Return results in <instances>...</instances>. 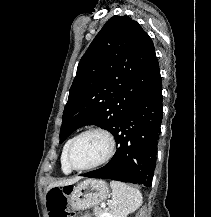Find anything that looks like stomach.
I'll return each instance as SVG.
<instances>
[{"label":"stomach","mask_w":211,"mask_h":217,"mask_svg":"<svg viewBox=\"0 0 211 217\" xmlns=\"http://www.w3.org/2000/svg\"><path fill=\"white\" fill-rule=\"evenodd\" d=\"M68 186H71L66 188L70 191L69 204L74 210L96 206L109 195L108 184L101 179H87L77 186Z\"/></svg>","instance_id":"0dacf381"}]
</instances>
